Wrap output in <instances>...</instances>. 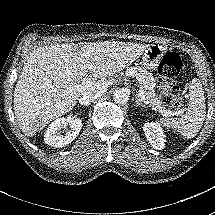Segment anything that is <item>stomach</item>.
<instances>
[{
  "mask_svg": "<svg viewBox=\"0 0 215 215\" xmlns=\"http://www.w3.org/2000/svg\"><path fill=\"white\" fill-rule=\"evenodd\" d=\"M166 54V47L159 44H151L142 54V64L146 68L154 70L159 66Z\"/></svg>",
  "mask_w": 215,
  "mask_h": 215,
  "instance_id": "0dacf381",
  "label": "stomach"
}]
</instances>
